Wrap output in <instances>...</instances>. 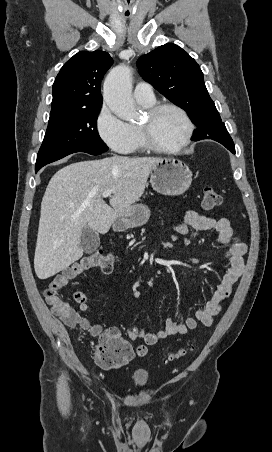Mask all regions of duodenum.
<instances>
[{
    "label": "duodenum",
    "mask_w": 272,
    "mask_h": 452,
    "mask_svg": "<svg viewBox=\"0 0 272 452\" xmlns=\"http://www.w3.org/2000/svg\"><path fill=\"white\" fill-rule=\"evenodd\" d=\"M113 229L114 230H121L122 226L119 224L118 221H115V223L113 224Z\"/></svg>",
    "instance_id": "obj_1"
}]
</instances>
